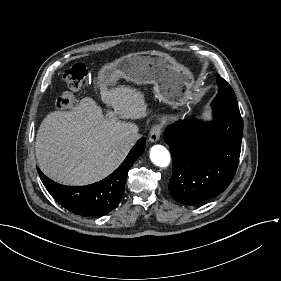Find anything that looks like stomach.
Listing matches in <instances>:
<instances>
[{"instance_id":"0dacf381","label":"stomach","mask_w":281,"mask_h":281,"mask_svg":"<svg viewBox=\"0 0 281 281\" xmlns=\"http://www.w3.org/2000/svg\"><path fill=\"white\" fill-rule=\"evenodd\" d=\"M122 79L139 86L151 84L155 97L176 109L193 102L194 73L164 51H140L116 58L102 65L94 84L100 93L113 92Z\"/></svg>"}]
</instances>
